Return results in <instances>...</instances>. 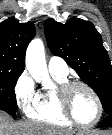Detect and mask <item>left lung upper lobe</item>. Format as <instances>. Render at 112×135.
Wrapping results in <instances>:
<instances>
[{
    "label": "left lung upper lobe",
    "mask_w": 112,
    "mask_h": 135,
    "mask_svg": "<svg viewBox=\"0 0 112 135\" xmlns=\"http://www.w3.org/2000/svg\"><path fill=\"white\" fill-rule=\"evenodd\" d=\"M51 52L62 57L99 96L106 115L112 114V66L94 25L76 17L65 24L44 23Z\"/></svg>",
    "instance_id": "5c2ea615"
}]
</instances>
